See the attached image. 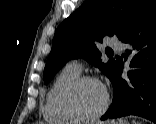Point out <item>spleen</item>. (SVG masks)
I'll return each mask as SVG.
<instances>
[{
  "mask_svg": "<svg viewBox=\"0 0 156 124\" xmlns=\"http://www.w3.org/2000/svg\"><path fill=\"white\" fill-rule=\"evenodd\" d=\"M132 124H141V123L140 122H136L135 120H133Z\"/></svg>",
  "mask_w": 156,
  "mask_h": 124,
  "instance_id": "1",
  "label": "spleen"
}]
</instances>
